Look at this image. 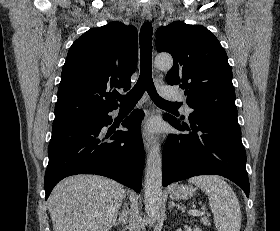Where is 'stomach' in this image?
Listing matches in <instances>:
<instances>
[{"label": "stomach", "instance_id": "obj_1", "mask_svg": "<svg viewBox=\"0 0 280 231\" xmlns=\"http://www.w3.org/2000/svg\"><path fill=\"white\" fill-rule=\"evenodd\" d=\"M196 189L193 185H173L170 189L172 199H188L194 195Z\"/></svg>", "mask_w": 280, "mask_h": 231}]
</instances>
